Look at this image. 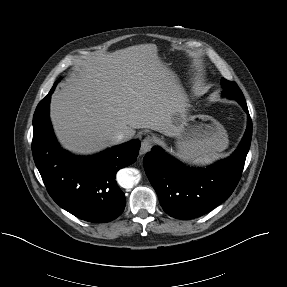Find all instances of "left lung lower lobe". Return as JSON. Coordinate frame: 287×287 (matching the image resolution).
<instances>
[{
    "label": "left lung lower lobe",
    "mask_w": 287,
    "mask_h": 287,
    "mask_svg": "<svg viewBox=\"0 0 287 287\" xmlns=\"http://www.w3.org/2000/svg\"><path fill=\"white\" fill-rule=\"evenodd\" d=\"M247 112L245 135L235 152L205 169H194L154 147L144 158L145 172L163 210L177 219L200 217L229 198L241 177L250 148L252 121L246 101H238Z\"/></svg>",
    "instance_id": "obj_1"
}]
</instances>
